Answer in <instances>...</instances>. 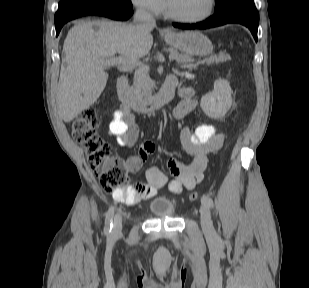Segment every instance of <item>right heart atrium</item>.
I'll list each match as a JSON object with an SVG mask.
<instances>
[{
	"mask_svg": "<svg viewBox=\"0 0 309 288\" xmlns=\"http://www.w3.org/2000/svg\"><path fill=\"white\" fill-rule=\"evenodd\" d=\"M130 2L136 9L149 15H157L164 8L163 0H130Z\"/></svg>",
	"mask_w": 309,
	"mask_h": 288,
	"instance_id": "1",
	"label": "right heart atrium"
}]
</instances>
